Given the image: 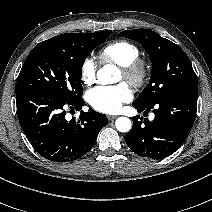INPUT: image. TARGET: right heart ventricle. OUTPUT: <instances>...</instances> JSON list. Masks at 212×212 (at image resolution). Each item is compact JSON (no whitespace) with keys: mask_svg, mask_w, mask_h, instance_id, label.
Returning a JSON list of instances; mask_svg holds the SVG:
<instances>
[{"mask_svg":"<svg viewBox=\"0 0 212 212\" xmlns=\"http://www.w3.org/2000/svg\"><path fill=\"white\" fill-rule=\"evenodd\" d=\"M138 48L125 40L108 43L99 51V58L104 63H114L124 66L138 57Z\"/></svg>","mask_w":212,"mask_h":212,"instance_id":"obj_1","label":"right heart ventricle"}]
</instances>
